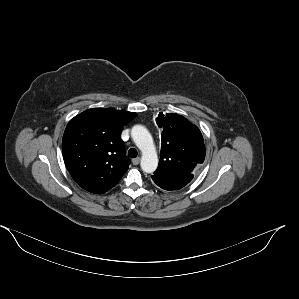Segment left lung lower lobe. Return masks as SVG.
<instances>
[{
	"label": "left lung lower lobe",
	"mask_w": 299,
	"mask_h": 299,
	"mask_svg": "<svg viewBox=\"0 0 299 299\" xmlns=\"http://www.w3.org/2000/svg\"><path fill=\"white\" fill-rule=\"evenodd\" d=\"M152 180L162 189L178 190L187 185L193 178L192 174L152 175Z\"/></svg>",
	"instance_id": "left-lung-lower-lobe-1"
}]
</instances>
